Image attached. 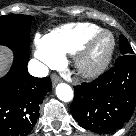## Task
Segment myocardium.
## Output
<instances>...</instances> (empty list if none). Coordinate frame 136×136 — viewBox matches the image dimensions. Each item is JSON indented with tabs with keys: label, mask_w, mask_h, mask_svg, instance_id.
<instances>
[{
	"label": "myocardium",
	"mask_w": 136,
	"mask_h": 136,
	"mask_svg": "<svg viewBox=\"0 0 136 136\" xmlns=\"http://www.w3.org/2000/svg\"><path fill=\"white\" fill-rule=\"evenodd\" d=\"M108 36L110 46L105 55L93 64H88L87 60L97 42ZM116 49V39L109 31H100L86 40L74 53L73 64L78 74L86 78L97 77L102 74L112 61Z\"/></svg>",
	"instance_id": "1"
}]
</instances>
